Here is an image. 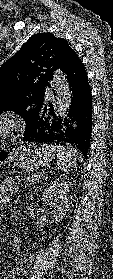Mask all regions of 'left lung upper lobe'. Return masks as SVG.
Here are the masks:
<instances>
[{"label": "left lung upper lobe", "mask_w": 113, "mask_h": 279, "mask_svg": "<svg viewBox=\"0 0 113 279\" xmlns=\"http://www.w3.org/2000/svg\"><path fill=\"white\" fill-rule=\"evenodd\" d=\"M74 50L52 33L34 34L0 67V112L14 111L33 125L36 109L44 102V88Z\"/></svg>", "instance_id": "5c2ea615"}]
</instances>
